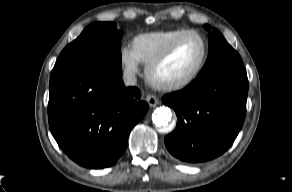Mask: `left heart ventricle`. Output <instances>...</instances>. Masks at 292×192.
I'll list each match as a JSON object with an SVG mask.
<instances>
[{"label": "left heart ventricle", "instance_id": "left-heart-ventricle-1", "mask_svg": "<svg viewBox=\"0 0 292 192\" xmlns=\"http://www.w3.org/2000/svg\"><path fill=\"white\" fill-rule=\"evenodd\" d=\"M202 54L201 40L195 35L185 37L173 53L156 68L155 79L168 83L187 77L199 64Z\"/></svg>", "mask_w": 292, "mask_h": 192}]
</instances>
